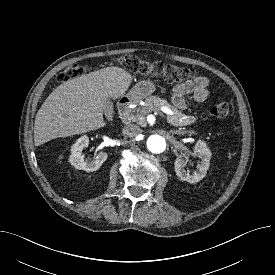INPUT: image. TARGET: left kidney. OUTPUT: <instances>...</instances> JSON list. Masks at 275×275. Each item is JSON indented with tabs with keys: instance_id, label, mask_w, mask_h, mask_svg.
I'll use <instances>...</instances> for the list:
<instances>
[{
	"instance_id": "left-kidney-1",
	"label": "left kidney",
	"mask_w": 275,
	"mask_h": 275,
	"mask_svg": "<svg viewBox=\"0 0 275 275\" xmlns=\"http://www.w3.org/2000/svg\"><path fill=\"white\" fill-rule=\"evenodd\" d=\"M194 155L200 159V164L197 166L198 171H195L193 174H190V171L185 169L187 161L182 155L178 156L174 163L177 176L181 180L187 181L191 184L198 183L205 177L206 172L209 169L212 154L207 148L206 143L202 140H198L194 147Z\"/></svg>"
}]
</instances>
